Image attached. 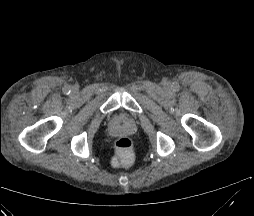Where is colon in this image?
Listing matches in <instances>:
<instances>
[{
	"label": "colon",
	"mask_w": 254,
	"mask_h": 216,
	"mask_svg": "<svg viewBox=\"0 0 254 216\" xmlns=\"http://www.w3.org/2000/svg\"><path fill=\"white\" fill-rule=\"evenodd\" d=\"M116 157L114 159V165L116 167L127 166L133 159V142L129 137H119L115 141Z\"/></svg>",
	"instance_id": "5ec220e1"
}]
</instances>
